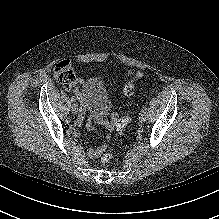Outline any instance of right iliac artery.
I'll list each match as a JSON object with an SVG mask.
<instances>
[{
    "label": "right iliac artery",
    "instance_id": "right-iliac-artery-1",
    "mask_svg": "<svg viewBox=\"0 0 219 219\" xmlns=\"http://www.w3.org/2000/svg\"><path fill=\"white\" fill-rule=\"evenodd\" d=\"M71 101H72V102H75L74 96L71 97Z\"/></svg>",
    "mask_w": 219,
    "mask_h": 219
}]
</instances>
